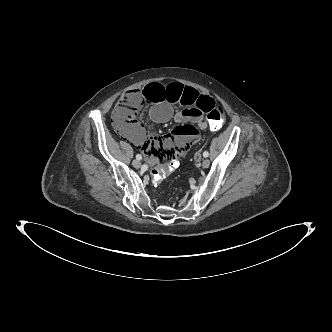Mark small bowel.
I'll use <instances>...</instances> for the list:
<instances>
[{
	"mask_svg": "<svg viewBox=\"0 0 332 332\" xmlns=\"http://www.w3.org/2000/svg\"><path fill=\"white\" fill-rule=\"evenodd\" d=\"M141 103L155 122L164 123L174 119L179 123L172 132L161 136L146 134L144 127L136 122L130 127L115 126L121 136L143 150L150 165L158 164L159 160L167 162L170 157L181 160L186 150L199 144V130L212 129L204 119V114L215 104L214 99L180 82L165 86L159 81L148 82L143 88ZM175 104L183 108L174 112ZM195 159L199 160L200 155L196 154Z\"/></svg>",
	"mask_w": 332,
	"mask_h": 332,
	"instance_id": "1",
	"label": "small bowel"
}]
</instances>
